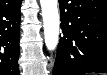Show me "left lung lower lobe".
Returning a JSON list of instances; mask_svg holds the SVG:
<instances>
[{"mask_svg": "<svg viewBox=\"0 0 107 75\" xmlns=\"http://www.w3.org/2000/svg\"><path fill=\"white\" fill-rule=\"evenodd\" d=\"M63 37L58 45L53 75L107 73V1L59 0ZM74 17L83 25L82 37L67 39Z\"/></svg>", "mask_w": 107, "mask_h": 75, "instance_id": "left-lung-lower-lobe-1", "label": "left lung lower lobe"}]
</instances>
